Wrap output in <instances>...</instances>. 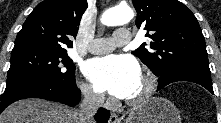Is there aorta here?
I'll list each match as a JSON object with an SVG mask.
<instances>
[{
	"mask_svg": "<svg viewBox=\"0 0 221 123\" xmlns=\"http://www.w3.org/2000/svg\"><path fill=\"white\" fill-rule=\"evenodd\" d=\"M134 17L133 10L128 6H118L105 11L101 23L106 26H117L129 23Z\"/></svg>",
	"mask_w": 221,
	"mask_h": 123,
	"instance_id": "1",
	"label": "aorta"
}]
</instances>
